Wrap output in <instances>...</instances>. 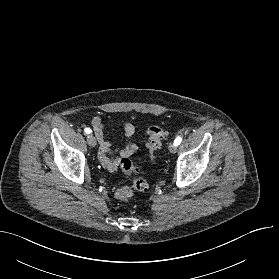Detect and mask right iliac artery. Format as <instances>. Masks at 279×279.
<instances>
[{
  "mask_svg": "<svg viewBox=\"0 0 279 279\" xmlns=\"http://www.w3.org/2000/svg\"><path fill=\"white\" fill-rule=\"evenodd\" d=\"M84 131H85L86 134H90L92 132L90 128H85Z\"/></svg>",
  "mask_w": 279,
  "mask_h": 279,
  "instance_id": "82829eb1",
  "label": "right iliac artery"
}]
</instances>
